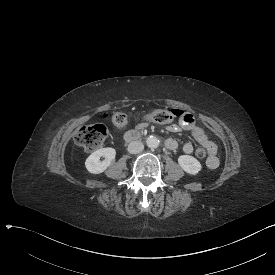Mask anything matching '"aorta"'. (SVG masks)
I'll return each mask as SVG.
<instances>
[{"instance_id":"aorta-1","label":"aorta","mask_w":275,"mask_h":275,"mask_svg":"<svg viewBox=\"0 0 275 275\" xmlns=\"http://www.w3.org/2000/svg\"><path fill=\"white\" fill-rule=\"evenodd\" d=\"M146 144L149 148H157L159 146V140L155 136H149L146 139Z\"/></svg>"}]
</instances>
